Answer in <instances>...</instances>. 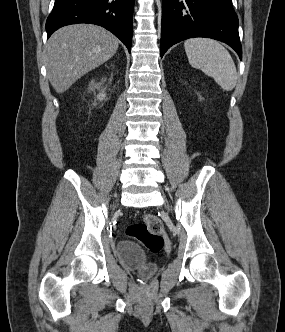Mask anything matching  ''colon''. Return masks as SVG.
<instances>
[{"label":"colon","mask_w":285,"mask_h":332,"mask_svg":"<svg viewBox=\"0 0 285 332\" xmlns=\"http://www.w3.org/2000/svg\"><path fill=\"white\" fill-rule=\"evenodd\" d=\"M126 234L140 242L152 253L170 249V244L164 235L162 222L152 214L145 215L141 222L129 225Z\"/></svg>","instance_id":"obj_1"}]
</instances>
